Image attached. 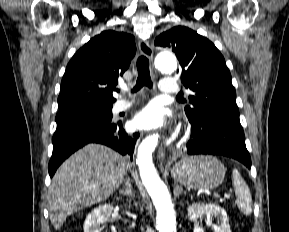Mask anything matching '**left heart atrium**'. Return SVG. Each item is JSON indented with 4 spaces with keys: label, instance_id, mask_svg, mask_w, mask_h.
I'll use <instances>...</instances> for the list:
<instances>
[{
    "label": "left heart atrium",
    "instance_id": "left-heart-atrium-1",
    "mask_svg": "<svg viewBox=\"0 0 289 232\" xmlns=\"http://www.w3.org/2000/svg\"><path fill=\"white\" fill-rule=\"evenodd\" d=\"M132 124L139 130H155L165 125V118L159 107L149 105L136 114Z\"/></svg>",
    "mask_w": 289,
    "mask_h": 232
}]
</instances>
